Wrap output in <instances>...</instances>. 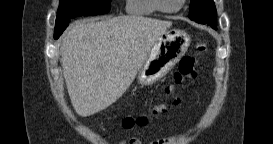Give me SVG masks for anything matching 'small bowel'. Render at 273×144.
Here are the masks:
<instances>
[{
	"mask_svg": "<svg viewBox=\"0 0 273 144\" xmlns=\"http://www.w3.org/2000/svg\"><path fill=\"white\" fill-rule=\"evenodd\" d=\"M179 138L177 136L173 137H166V138H161L158 140H155L151 142V144H177ZM122 144H141V142L137 138H130L128 140H125L121 142Z\"/></svg>",
	"mask_w": 273,
	"mask_h": 144,
	"instance_id": "obj_1",
	"label": "small bowel"
}]
</instances>
